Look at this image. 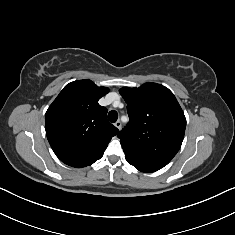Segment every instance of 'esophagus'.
I'll use <instances>...</instances> for the list:
<instances>
[{
	"instance_id": "1",
	"label": "esophagus",
	"mask_w": 235,
	"mask_h": 235,
	"mask_svg": "<svg viewBox=\"0 0 235 235\" xmlns=\"http://www.w3.org/2000/svg\"><path fill=\"white\" fill-rule=\"evenodd\" d=\"M115 127L116 128H118L119 130L121 129V127H122V124H121V122L118 120L117 122H115Z\"/></svg>"
}]
</instances>
